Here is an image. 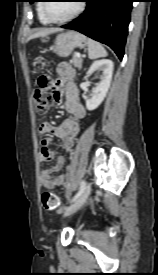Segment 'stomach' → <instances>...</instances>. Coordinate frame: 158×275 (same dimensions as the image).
Returning a JSON list of instances; mask_svg holds the SVG:
<instances>
[{
    "mask_svg": "<svg viewBox=\"0 0 158 275\" xmlns=\"http://www.w3.org/2000/svg\"><path fill=\"white\" fill-rule=\"evenodd\" d=\"M87 44L86 37L77 31H67L57 35L55 43L50 47L60 57H68L77 47Z\"/></svg>",
    "mask_w": 158,
    "mask_h": 275,
    "instance_id": "1",
    "label": "stomach"
}]
</instances>
